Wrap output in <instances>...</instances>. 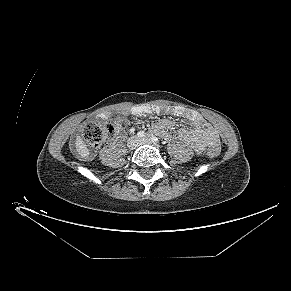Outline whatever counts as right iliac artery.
Instances as JSON below:
<instances>
[{
    "label": "right iliac artery",
    "instance_id": "right-iliac-artery-1",
    "mask_svg": "<svg viewBox=\"0 0 291 291\" xmlns=\"http://www.w3.org/2000/svg\"><path fill=\"white\" fill-rule=\"evenodd\" d=\"M137 135H138V137H140V138L144 137V133H143V132H139Z\"/></svg>",
    "mask_w": 291,
    "mask_h": 291
}]
</instances>
